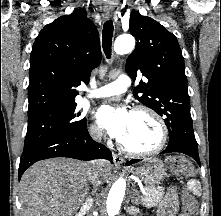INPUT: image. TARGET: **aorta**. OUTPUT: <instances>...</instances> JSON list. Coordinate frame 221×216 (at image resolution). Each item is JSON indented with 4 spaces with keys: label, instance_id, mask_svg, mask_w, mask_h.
Here are the masks:
<instances>
[{
    "label": "aorta",
    "instance_id": "762f6f07",
    "mask_svg": "<svg viewBox=\"0 0 221 216\" xmlns=\"http://www.w3.org/2000/svg\"><path fill=\"white\" fill-rule=\"evenodd\" d=\"M135 47V39L132 35L124 34L116 38L114 43V51L116 54L124 55L133 51ZM126 190V181L122 178L118 179L111 187L106 208L108 216H115L119 213Z\"/></svg>",
    "mask_w": 221,
    "mask_h": 216
}]
</instances>
